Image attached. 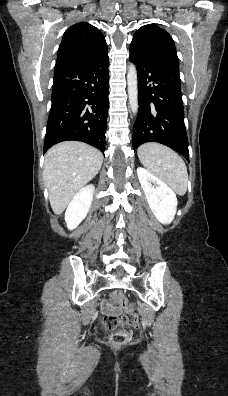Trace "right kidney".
<instances>
[{"instance_id": "obj_1", "label": "right kidney", "mask_w": 228, "mask_h": 396, "mask_svg": "<svg viewBox=\"0 0 228 396\" xmlns=\"http://www.w3.org/2000/svg\"><path fill=\"white\" fill-rule=\"evenodd\" d=\"M95 187L90 184L83 187L71 200L65 212V221L69 230L75 229L87 216L92 204Z\"/></svg>"}]
</instances>
